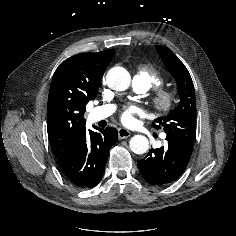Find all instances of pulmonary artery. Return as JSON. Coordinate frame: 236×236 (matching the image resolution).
I'll return each instance as SVG.
<instances>
[{
	"mask_svg": "<svg viewBox=\"0 0 236 236\" xmlns=\"http://www.w3.org/2000/svg\"><path fill=\"white\" fill-rule=\"evenodd\" d=\"M133 84L138 92L145 93L148 88L139 82L135 77L133 79ZM114 106L113 105H103L99 106L91 111V117L94 121H99L102 119H105L109 117L114 112ZM163 138H165V135H163Z\"/></svg>",
	"mask_w": 236,
	"mask_h": 236,
	"instance_id": "obj_1",
	"label": "pulmonary artery"
}]
</instances>
